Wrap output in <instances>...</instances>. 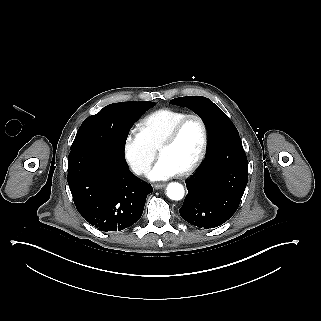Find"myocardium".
I'll return each instance as SVG.
<instances>
[{
    "label": "myocardium",
    "mask_w": 321,
    "mask_h": 321,
    "mask_svg": "<svg viewBox=\"0 0 321 321\" xmlns=\"http://www.w3.org/2000/svg\"><path fill=\"white\" fill-rule=\"evenodd\" d=\"M191 119H196L199 121L200 125H201V129H202V143H201V147L200 150L197 154V156L195 157V159L193 160V162L183 171H181V174L183 175H189L191 173H193L202 163V161L204 160L207 150H208V145H209V132H208V126L205 122V120L203 119V117H201L198 114H189L186 115L185 117L181 118L180 120H178L171 128L170 130L161 137V139L159 140L160 143H170L172 141L175 140V138L177 137L180 129L182 128V126L189 120Z\"/></svg>",
    "instance_id": "obj_1"
}]
</instances>
